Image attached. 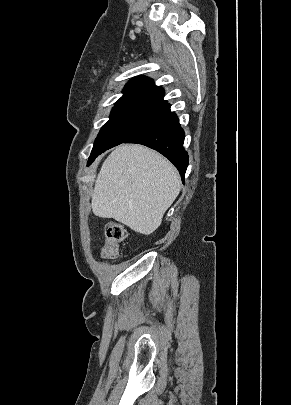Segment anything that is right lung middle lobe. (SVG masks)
<instances>
[{"label":"right lung middle lobe","instance_id":"obj_1","mask_svg":"<svg viewBox=\"0 0 291 405\" xmlns=\"http://www.w3.org/2000/svg\"><path fill=\"white\" fill-rule=\"evenodd\" d=\"M169 112V104L148 101L116 103L109 121L101 128L95 140L88 165L106 150L126 142L134 135L162 119Z\"/></svg>","mask_w":291,"mask_h":405}]
</instances>
